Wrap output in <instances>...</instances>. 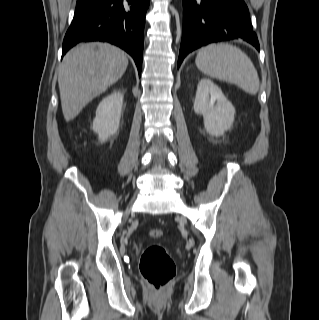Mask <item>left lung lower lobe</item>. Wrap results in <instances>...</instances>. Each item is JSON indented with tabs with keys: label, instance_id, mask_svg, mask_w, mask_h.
Masks as SVG:
<instances>
[{
	"label": "left lung lower lobe",
	"instance_id": "1",
	"mask_svg": "<svg viewBox=\"0 0 319 320\" xmlns=\"http://www.w3.org/2000/svg\"><path fill=\"white\" fill-rule=\"evenodd\" d=\"M231 39H242L260 50L243 0H183L178 67L191 51L211 42Z\"/></svg>",
	"mask_w": 319,
	"mask_h": 320
}]
</instances>
